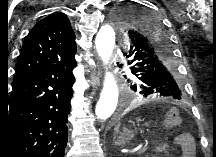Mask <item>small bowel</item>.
Instances as JSON below:
<instances>
[{
	"instance_id": "obj_1",
	"label": "small bowel",
	"mask_w": 216,
	"mask_h": 157,
	"mask_svg": "<svg viewBox=\"0 0 216 157\" xmlns=\"http://www.w3.org/2000/svg\"><path fill=\"white\" fill-rule=\"evenodd\" d=\"M175 143L181 149L183 157H193L195 155V144L190 134L181 133L177 135Z\"/></svg>"
}]
</instances>
